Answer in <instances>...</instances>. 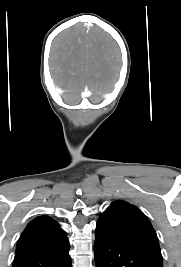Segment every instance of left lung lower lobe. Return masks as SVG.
Masks as SVG:
<instances>
[{"label": "left lung lower lobe", "instance_id": "0a47b994", "mask_svg": "<svg viewBox=\"0 0 181 267\" xmlns=\"http://www.w3.org/2000/svg\"><path fill=\"white\" fill-rule=\"evenodd\" d=\"M97 267H163L162 260L105 231H96Z\"/></svg>", "mask_w": 181, "mask_h": 267}]
</instances>
